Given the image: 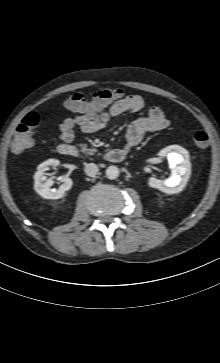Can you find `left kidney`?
<instances>
[{
	"label": "left kidney",
	"mask_w": 220,
	"mask_h": 363,
	"mask_svg": "<svg viewBox=\"0 0 220 363\" xmlns=\"http://www.w3.org/2000/svg\"><path fill=\"white\" fill-rule=\"evenodd\" d=\"M158 155L167 157L172 168L171 177L165 180L150 177L149 186L168 194L182 191L191 174V163L187 150L178 145H171L162 149Z\"/></svg>",
	"instance_id": "5707ae66"
}]
</instances>
